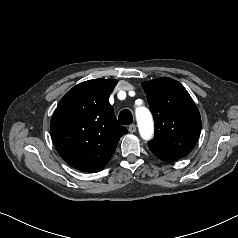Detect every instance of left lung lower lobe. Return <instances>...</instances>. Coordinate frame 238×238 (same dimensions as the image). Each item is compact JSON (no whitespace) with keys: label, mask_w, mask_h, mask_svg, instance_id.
<instances>
[{"label":"left lung lower lobe","mask_w":238,"mask_h":238,"mask_svg":"<svg viewBox=\"0 0 238 238\" xmlns=\"http://www.w3.org/2000/svg\"><path fill=\"white\" fill-rule=\"evenodd\" d=\"M157 157L163 161H166V162H172V161H175V159H172V158H169V157H166V156H162V155H157Z\"/></svg>","instance_id":"0a47b994"}]
</instances>
